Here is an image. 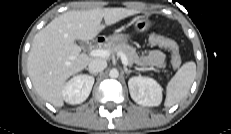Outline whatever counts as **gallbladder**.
Masks as SVG:
<instances>
[{"label":"gallbladder","instance_id":"bac80fb5","mask_svg":"<svg viewBox=\"0 0 231 134\" xmlns=\"http://www.w3.org/2000/svg\"><path fill=\"white\" fill-rule=\"evenodd\" d=\"M79 45H80L81 47H86V46H87V44H86L85 41H79Z\"/></svg>","mask_w":231,"mask_h":134}]
</instances>
